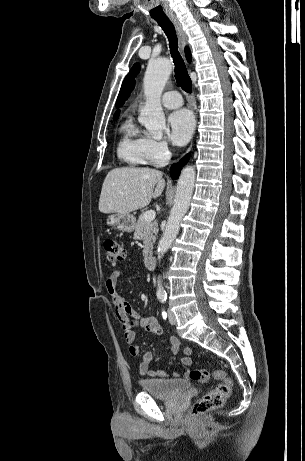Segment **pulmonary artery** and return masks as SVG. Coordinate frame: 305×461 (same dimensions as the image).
<instances>
[{"label": "pulmonary artery", "mask_w": 305, "mask_h": 461, "mask_svg": "<svg viewBox=\"0 0 305 461\" xmlns=\"http://www.w3.org/2000/svg\"><path fill=\"white\" fill-rule=\"evenodd\" d=\"M162 104L166 108L174 109L180 107L183 104V100L177 91H168L162 96Z\"/></svg>", "instance_id": "pulmonary-artery-1"}]
</instances>
